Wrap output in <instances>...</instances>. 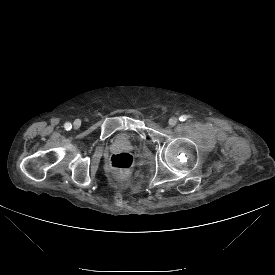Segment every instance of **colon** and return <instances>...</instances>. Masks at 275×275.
Here are the masks:
<instances>
[{"instance_id":"5ec220e1","label":"colon","mask_w":275,"mask_h":275,"mask_svg":"<svg viewBox=\"0 0 275 275\" xmlns=\"http://www.w3.org/2000/svg\"><path fill=\"white\" fill-rule=\"evenodd\" d=\"M133 156L128 152H118L112 154L108 159V166L123 172L129 171L133 166Z\"/></svg>"}]
</instances>
